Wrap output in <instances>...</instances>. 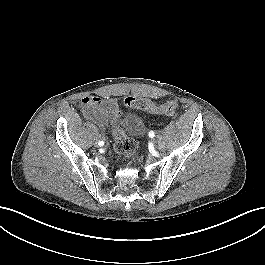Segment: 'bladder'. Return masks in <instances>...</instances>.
<instances>
[{
    "label": "bladder",
    "mask_w": 265,
    "mask_h": 265,
    "mask_svg": "<svg viewBox=\"0 0 265 265\" xmlns=\"http://www.w3.org/2000/svg\"><path fill=\"white\" fill-rule=\"evenodd\" d=\"M111 125L112 131L116 130L131 139L141 137L146 128L144 120L133 113L120 114L113 112Z\"/></svg>",
    "instance_id": "bladder-1"
}]
</instances>
